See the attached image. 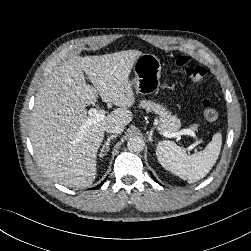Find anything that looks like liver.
Listing matches in <instances>:
<instances>
[{
    "mask_svg": "<svg viewBox=\"0 0 251 251\" xmlns=\"http://www.w3.org/2000/svg\"><path fill=\"white\" fill-rule=\"evenodd\" d=\"M138 50L70 58L45 79L35 97L30 139L44 173L67 187H88L97 175V152L108 124L128 125L135 102L129 75ZM84 73L94 86L85 81ZM118 106L88 127L86 106L97 101Z\"/></svg>",
    "mask_w": 251,
    "mask_h": 251,
    "instance_id": "1",
    "label": "liver"
}]
</instances>
